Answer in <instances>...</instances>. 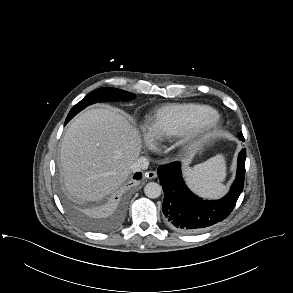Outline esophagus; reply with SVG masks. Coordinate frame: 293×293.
<instances>
[{
  "label": "esophagus",
  "instance_id": "esophagus-1",
  "mask_svg": "<svg viewBox=\"0 0 293 293\" xmlns=\"http://www.w3.org/2000/svg\"><path fill=\"white\" fill-rule=\"evenodd\" d=\"M145 177L148 179H154L157 177V172L156 171H148L145 173Z\"/></svg>",
  "mask_w": 293,
  "mask_h": 293
}]
</instances>
